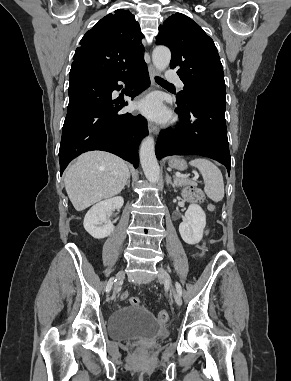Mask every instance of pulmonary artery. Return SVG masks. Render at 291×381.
Wrapping results in <instances>:
<instances>
[{
    "label": "pulmonary artery",
    "mask_w": 291,
    "mask_h": 381,
    "mask_svg": "<svg viewBox=\"0 0 291 381\" xmlns=\"http://www.w3.org/2000/svg\"><path fill=\"white\" fill-rule=\"evenodd\" d=\"M166 79L171 82L177 83L180 87H183V82L180 80L176 72L172 69H168L166 72Z\"/></svg>",
    "instance_id": "obj_1"
}]
</instances>
